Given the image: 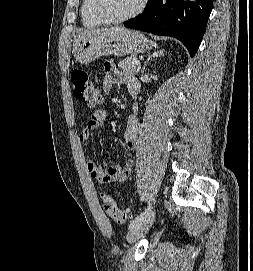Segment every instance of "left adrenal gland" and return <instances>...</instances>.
Masks as SVG:
<instances>
[{
    "label": "left adrenal gland",
    "instance_id": "a2214340",
    "mask_svg": "<svg viewBox=\"0 0 253 271\" xmlns=\"http://www.w3.org/2000/svg\"><path fill=\"white\" fill-rule=\"evenodd\" d=\"M158 56H164V50H158V51H155L154 53H152V55H149L148 58H147V60H146L145 63H144V66H143V68H142L141 73H144L145 68H146L148 62H149L152 58L158 57Z\"/></svg>",
    "mask_w": 253,
    "mask_h": 271
}]
</instances>
